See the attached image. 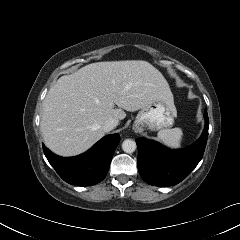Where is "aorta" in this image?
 <instances>
[{
	"mask_svg": "<svg viewBox=\"0 0 240 240\" xmlns=\"http://www.w3.org/2000/svg\"><path fill=\"white\" fill-rule=\"evenodd\" d=\"M136 147V142L132 139H126L122 143V150L126 153H133Z\"/></svg>",
	"mask_w": 240,
	"mask_h": 240,
	"instance_id": "obj_1",
	"label": "aorta"
}]
</instances>
